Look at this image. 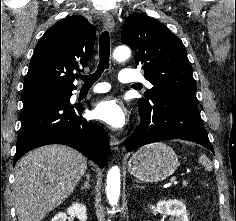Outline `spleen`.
I'll list each match as a JSON object with an SVG mask.
<instances>
[{"label": "spleen", "instance_id": "spleen-1", "mask_svg": "<svg viewBox=\"0 0 236 221\" xmlns=\"http://www.w3.org/2000/svg\"><path fill=\"white\" fill-rule=\"evenodd\" d=\"M199 162H201V163L205 166L206 170H208V171L212 170L211 161L207 158L206 155H203V154H202V155L199 157Z\"/></svg>", "mask_w": 236, "mask_h": 221}]
</instances>
